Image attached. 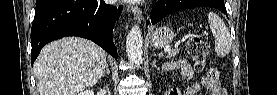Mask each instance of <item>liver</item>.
Returning a JSON list of instances; mask_svg holds the SVG:
<instances>
[{
    "label": "liver",
    "instance_id": "6515ba94",
    "mask_svg": "<svg viewBox=\"0 0 277 95\" xmlns=\"http://www.w3.org/2000/svg\"><path fill=\"white\" fill-rule=\"evenodd\" d=\"M107 66L97 44L67 37L47 44L34 63L40 95H77L94 86Z\"/></svg>",
    "mask_w": 277,
    "mask_h": 95
}]
</instances>
